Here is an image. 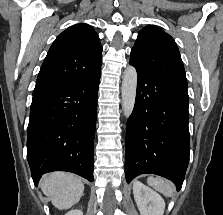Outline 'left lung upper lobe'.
Returning a JSON list of instances; mask_svg holds the SVG:
<instances>
[{
	"label": "left lung upper lobe",
	"mask_w": 223,
	"mask_h": 215,
	"mask_svg": "<svg viewBox=\"0 0 223 215\" xmlns=\"http://www.w3.org/2000/svg\"><path fill=\"white\" fill-rule=\"evenodd\" d=\"M129 63L138 72L187 89L185 69L173 38L155 26H146L138 34Z\"/></svg>",
	"instance_id": "left-lung-upper-lobe-1"
}]
</instances>
